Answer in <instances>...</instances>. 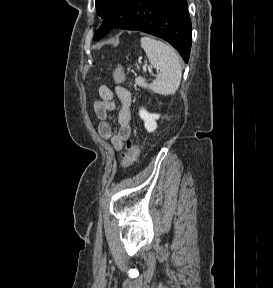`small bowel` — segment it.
I'll use <instances>...</instances> for the list:
<instances>
[{"label": "small bowel", "instance_id": "obj_1", "mask_svg": "<svg viewBox=\"0 0 273 288\" xmlns=\"http://www.w3.org/2000/svg\"><path fill=\"white\" fill-rule=\"evenodd\" d=\"M100 100L93 104V109L100 119L98 133L101 138L112 143L115 149L121 150L131 133V93L124 87L116 85L114 91L108 85H101L98 90ZM115 96L118 98L121 108L118 113V131L113 133L110 123L107 121L109 114L115 109Z\"/></svg>", "mask_w": 273, "mask_h": 288}]
</instances>
